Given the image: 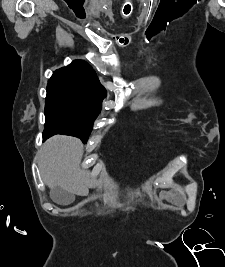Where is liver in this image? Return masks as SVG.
I'll use <instances>...</instances> for the list:
<instances>
[{
  "instance_id": "obj_1",
  "label": "liver",
  "mask_w": 225,
  "mask_h": 267,
  "mask_svg": "<svg viewBox=\"0 0 225 267\" xmlns=\"http://www.w3.org/2000/svg\"><path fill=\"white\" fill-rule=\"evenodd\" d=\"M83 144L79 139L57 135L48 139L38 154V165L44 183L58 186L72 194L86 196L94 186L89 171L80 168Z\"/></svg>"
}]
</instances>
